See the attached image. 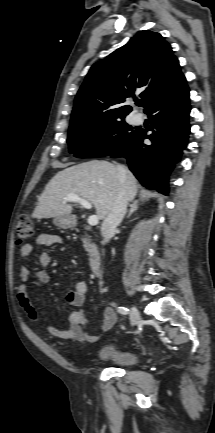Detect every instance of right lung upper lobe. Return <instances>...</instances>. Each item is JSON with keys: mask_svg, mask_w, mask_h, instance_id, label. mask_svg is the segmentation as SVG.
<instances>
[{"mask_svg": "<svg viewBox=\"0 0 215 433\" xmlns=\"http://www.w3.org/2000/svg\"><path fill=\"white\" fill-rule=\"evenodd\" d=\"M186 82L170 45L156 32L144 30L89 70L78 91L70 125L116 119L132 108L124 101L143 90L145 109Z\"/></svg>", "mask_w": 215, "mask_h": 433, "instance_id": "obj_1", "label": "right lung upper lobe"}]
</instances>
